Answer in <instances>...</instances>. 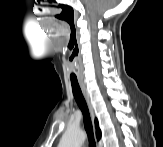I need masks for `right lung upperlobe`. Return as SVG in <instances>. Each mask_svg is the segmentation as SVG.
Returning a JSON list of instances; mask_svg holds the SVG:
<instances>
[{"label":"right lung upper lobe","mask_w":163,"mask_h":147,"mask_svg":"<svg viewBox=\"0 0 163 147\" xmlns=\"http://www.w3.org/2000/svg\"><path fill=\"white\" fill-rule=\"evenodd\" d=\"M95 125H96V136H97V139L99 140L100 137H101V131L99 129V124H98V120L95 119Z\"/></svg>","instance_id":"obj_1"}]
</instances>
